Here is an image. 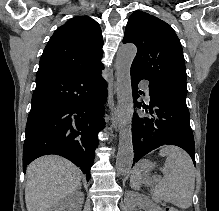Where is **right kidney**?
Instances as JSON below:
<instances>
[{
	"label": "right kidney",
	"mask_w": 219,
	"mask_h": 211,
	"mask_svg": "<svg viewBox=\"0 0 219 211\" xmlns=\"http://www.w3.org/2000/svg\"><path fill=\"white\" fill-rule=\"evenodd\" d=\"M83 193H80V199H79V205L81 207V203H83ZM78 199H75L73 195H68V197H61L57 203H54L51 207V211H66V207H75ZM79 209H76V211H80Z\"/></svg>",
	"instance_id": "ca27d5eb"
}]
</instances>
